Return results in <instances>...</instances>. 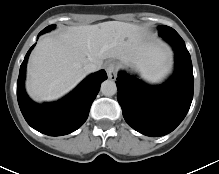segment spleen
I'll use <instances>...</instances> for the list:
<instances>
[{
    "label": "spleen",
    "instance_id": "obj_1",
    "mask_svg": "<svg viewBox=\"0 0 219 174\" xmlns=\"http://www.w3.org/2000/svg\"><path fill=\"white\" fill-rule=\"evenodd\" d=\"M169 65L167 62V55H165V60L159 64L148 68L142 72L141 77L149 83L158 84L161 83L166 76L169 74Z\"/></svg>",
    "mask_w": 219,
    "mask_h": 174
}]
</instances>
